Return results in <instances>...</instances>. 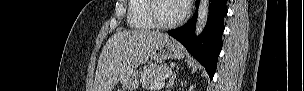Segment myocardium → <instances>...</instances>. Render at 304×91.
<instances>
[{
	"label": "myocardium",
	"mask_w": 304,
	"mask_h": 91,
	"mask_svg": "<svg viewBox=\"0 0 304 91\" xmlns=\"http://www.w3.org/2000/svg\"><path fill=\"white\" fill-rule=\"evenodd\" d=\"M159 1H163V0H148V5H147L148 17L153 22L156 28H160V29L174 28L180 25L186 19L188 14V8H184L181 16L173 21L165 22L160 20L157 16V3Z\"/></svg>",
	"instance_id": "1"
}]
</instances>
